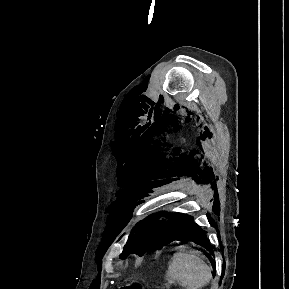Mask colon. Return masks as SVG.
<instances>
[{"label": "colon", "mask_w": 289, "mask_h": 289, "mask_svg": "<svg viewBox=\"0 0 289 289\" xmlns=\"http://www.w3.org/2000/svg\"><path fill=\"white\" fill-rule=\"evenodd\" d=\"M121 289H123V288H121ZM128 289H143V287L138 282H132L129 284Z\"/></svg>", "instance_id": "colon-1"}]
</instances>
